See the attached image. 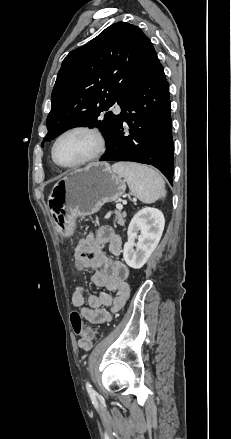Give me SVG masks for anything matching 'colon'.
<instances>
[{"label": "colon", "instance_id": "1", "mask_svg": "<svg viewBox=\"0 0 231 439\" xmlns=\"http://www.w3.org/2000/svg\"><path fill=\"white\" fill-rule=\"evenodd\" d=\"M84 259L81 256L75 258L72 263V268L77 273H84L86 266L83 264ZM70 321L75 334L80 335L87 341H92L95 338V331L91 327H85L82 323L81 316L78 312H72L70 315Z\"/></svg>", "mask_w": 231, "mask_h": 439}]
</instances>
